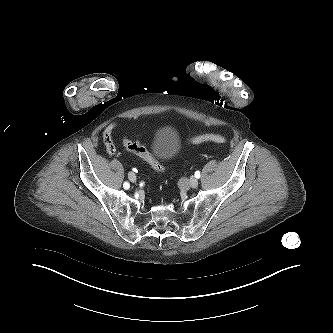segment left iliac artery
<instances>
[{
	"instance_id": "1",
	"label": "left iliac artery",
	"mask_w": 333,
	"mask_h": 333,
	"mask_svg": "<svg viewBox=\"0 0 333 333\" xmlns=\"http://www.w3.org/2000/svg\"><path fill=\"white\" fill-rule=\"evenodd\" d=\"M195 177H196L197 179L200 178V172H199V171H196V172H195Z\"/></svg>"
}]
</instances>
